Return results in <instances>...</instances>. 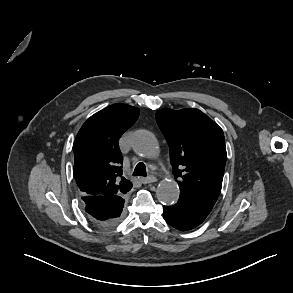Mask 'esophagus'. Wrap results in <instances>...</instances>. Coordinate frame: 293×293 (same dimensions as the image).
<instances>
[{
	"label": "esophagus",
	"instance_id": "34e87169",
	"mask_svg": "<svg viewBox=\"0 0 293 293\" xmlns=\"http://www.w3.org/2000/svg\"><path fill=\"white\" fill-rule=\"evenodd\" d=\"M140 181L143 183V184H149V183H153V182H156L157 179L155 176H149V177H143L140 179Z\"/></svg>",
	"mask_w": 293,
	"mask_h": 293
}]
</instances>
